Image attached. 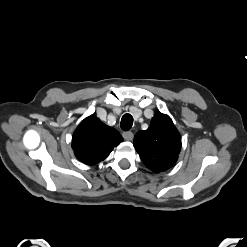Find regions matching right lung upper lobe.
Listing matches in <instances>:
<instances>
[{"instance_id": "obj_1", "label": "right lung upper lobe", "mask_w": 247, "mask_h": 247, "mask_svg": "<svg viewBox=\"0 0 247 247\" xmlns=\"http://www.w3.org/2000/svg\"><path fill=\"white\" fill-rule=\"evenodd\" d=\"M122 141L117 130L102 123L95 115H90L74 131L72 148L81 162L94 165L107 158Z\"/></svg>"}]
</instances>
